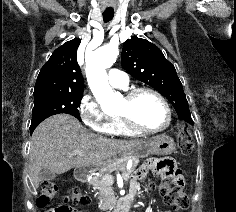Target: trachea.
Here are the masks:
<instances>
[{"mask_svg": "<svg viewBox=\"0 0 236 212\" xmlns=\"http://www.w3.org/2000/svg\"><path fill=\"white\" fill-rule=\"evenodd\" d=\"M114 17V12H104L103 13V20L104 22H109L110 20H112Z\"/></svg>", "mask_w": 236, "mask_h": 212, "instance_id": "obj_1", "label": "trachea"}]
</instances>
